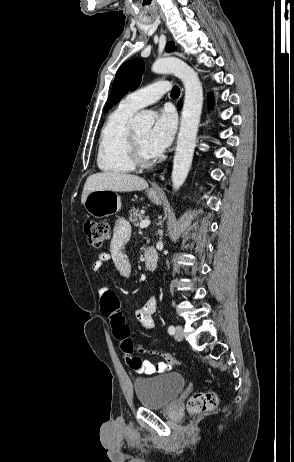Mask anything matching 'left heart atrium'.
I'll return each instance as SVG.
<instances>
[{
    "label": "left heart atrium",
    "instance_id": "1",
    "mask_svg": "<svg viewBox=\"0 0 294 462\" xmlns=\"http://www.w3.org/2000/svg\"><path fill=\"white\" fill-rule=\"evenodd\" d=\"M175 131L176 117L173 110L170 108L160 110L156 114L154 126L147 138V146L150 152L156 156L164 151L170 145Z\"/></svg>",
    "mask_w": 294,
    "mask_h": 462
}]
</instances>
